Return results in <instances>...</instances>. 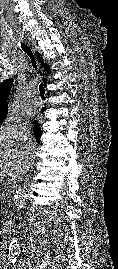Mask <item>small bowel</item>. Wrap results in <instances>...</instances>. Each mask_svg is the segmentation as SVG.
<instances>
[{
	"label": "small bowel",
	"instance_id": "small-bowel-1",
	"mask_svg": "<svg viewBox=\"0 0 118 269\" xmlns=\"http://www.w3.org/2000/svg\"><path fill=\"white\" fill-rule=\"evenodd\" d=\"M0 269H7V265L4 262H2L0 264Z\"/></svg>",
	"mask_w": 118,
	"mask_h": 269
}]
</instances>
